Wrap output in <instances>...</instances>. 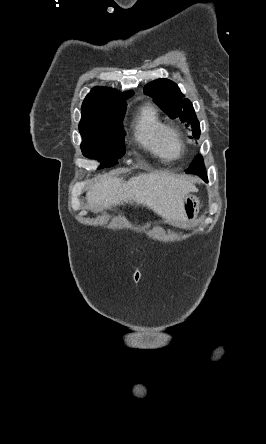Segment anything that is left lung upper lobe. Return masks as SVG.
<instances>
[{
	"label": "left lung upper lobe",
	"mask_w": 266,
	"mask_h": 444,
	"mask_svg": "<svg viewBox=\"0 0 266 444\" xmlns=\"http://www.w3.org/2000/svg\"><path fill=\"white\" fill-rule=\"evenodd\" d=\"M144 92L153 97L157 105L171 119L179 118L182 122L189 123L194 129L195 137H200V124L192 103L188 99H184V95L176 83L165 78L157 79L146 84Z\"/></svg>",
	"instance_id": "1"
}]
</instances>
